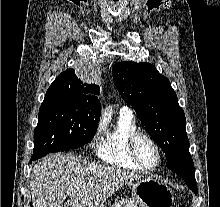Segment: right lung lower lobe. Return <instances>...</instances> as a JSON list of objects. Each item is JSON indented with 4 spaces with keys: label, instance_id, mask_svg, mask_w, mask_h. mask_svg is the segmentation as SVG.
<instances>
[{
    "label": "right lung lower lobe",
    "instance_id": "1",
    "mask_svg": "<svg viewBox=\"0 0 220 207\" xmlns=\"http://www.w3.org/2000/svg\"><path fill=\"white\" fill-rule=\"evenodd\" d=\"M34 160H36V158H34V157H31V161H34Z\"/></svg>",
    "mask_w": 220,
    "mask_h": 207
}]
</instances>
